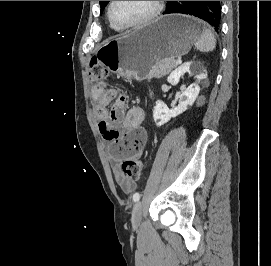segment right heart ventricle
<instances>
[{
    "label": "right heart ventricle",
    "instance_id": "1",
    "mask_svg": "<svg viewBox=\"0 0 271 266\" xmlns=\"http://www.w3.org/2000/svg\"><path fill=\"white\" fill-rule=\"evenodd\" d=\"M111 27L115 30V31H119V29H117V28H115V27H113L112 25H111Z\"/></svg>",
    "mask_w": 271,
    "mask_h": 266
}]
</instances>
